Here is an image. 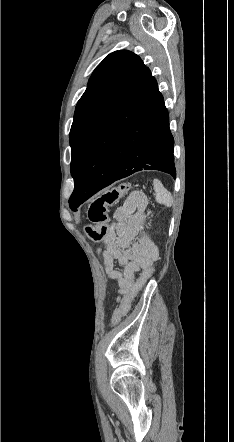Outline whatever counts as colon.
Masks as SVG:
<instances>
[{"label":"colon","instance_id":"1","mask_svg":"<svg viewBox=\"0 0 234 442\" xmlns=\"http://www.w3.org/2000/svg\"><path fill=\"white\" fill-rule=\"evenodd\" d=\"M130 189L129 184H121L118 187L105 191L99 197L95 198L88 209V219L91 225L86 227L88 236L94 241H100L105 238L108 233V208L118 202ZM159 267L158 261H153L132 286L129 292L123 298L121 306L113 315L112 323H118L121 318L128 312L131 302L137 293L144 287L148 279L151 277L154 268Z\"/></svg>","mask_w":234,"mask_h":442}]
</instances>
